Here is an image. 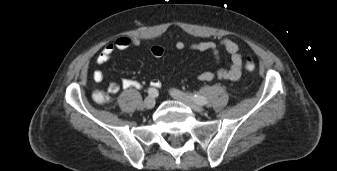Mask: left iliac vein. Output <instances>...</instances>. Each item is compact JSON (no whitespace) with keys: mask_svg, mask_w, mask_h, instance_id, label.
<instances>
[{"mask_svg":"<svg viewBox=\"0 0 337 171\" xmlns=\"http://www.w3.org/2000/svg\"><path fill=\"white\" fill-rule=\"evenodd\" d=\"M170 95L178 100L183 102L184 104L188 105L193 111L195 112H202L203 108L198 105L196 102H194L192 99H190L188 96L180 92L179 90L176 89H171L170 90Z\"/></svg>","mask_w":337,"mask_h":171,"instance_id":"obj_1","label":"left iliac vein"}]
</instances>
